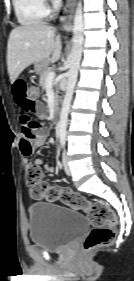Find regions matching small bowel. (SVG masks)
<instances>
[{
    "instance_id": "1",
    "label": "small bowel",
    "mask_w": 134,
    "mask_h": 281,
    "mask_svg": "<svg viewBox=\"0 0 134 281\" xmlns=\"http://www.w3.org/2000/svg\"><path fill=\"white\" fill-rule=\"evenodd\" d=\"M28 83L23 78H16L12 82V93L16 104L19 107V119L22 124L20 149L27 158L33 157L37 147L46 143L49 131L45 127H41L39 123L32 120L30 115L34 114L39 119L46 116L45 105L36 100L32 101L28 97ZM41 158H35L32 162L27 161V168L31 166H42ZM44 169L48 173H54L55 167L49 164L44 165Z\"/></svg>"
}]
</instances>
